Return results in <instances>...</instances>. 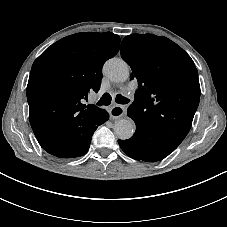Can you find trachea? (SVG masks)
Segmentation results:
<instances>
[{"mask_svg": "<svg viewBox=\"0 0 227 227\" xmlns=\"http://www.w3.org/2000/svg\"><path fill=\"white\" fill-rule=\"evenodd\" d=\"M112 97L109 93H104L103 96L100 98V100L97 102L98 106H108L111 104ZM115 102L121 105L127 104L130 102V100L121 94H117L115 98Z\"/></svg>", "mask_w": 227, "mask_h": 227, "instance_id": "1", "label": "trachea"}]
</instances>
